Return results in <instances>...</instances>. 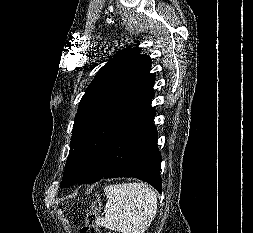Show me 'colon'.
<instances>
[{"instance_id":"colon-1","label":"colon","mask_w":253,"mask_h":233,"mask_svg":"<svg viewBox=\"0 0 253 233\" xmlns=\"http://www.w3.org/2000/svg\"><path fill=\"white\" fill-rule=\"evenodd\" d=\"M100 210V203L94 201L91 205V209L87 214L85 224L81 228L80 233H100L99 229L96 226V220L98 217V212Z\"/></svg>"}]
</instances>
